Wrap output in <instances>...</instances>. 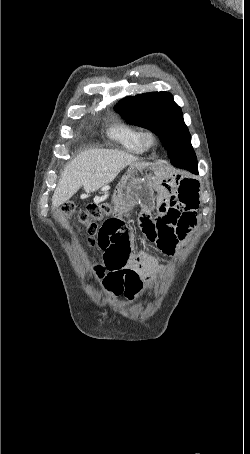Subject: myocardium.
I'll return each mask as SVG.
<instances>
[{
	"label": "myocardium",
	"mask_w": 250,
	"mask_h": 454,
	"mask_svg": "<svg viewBox=\"0 0 250 454\" xmlns=\"http://www.w3.org/2000/svg\"><path fill=\"white\" fill-rule=\"evenodd\" d=\"M140 140L145 149H150L156 145V134L150 129H143L140 133Z\"/></svg>",
	"instance_id": "myocardium-1"
}]
</instances>
